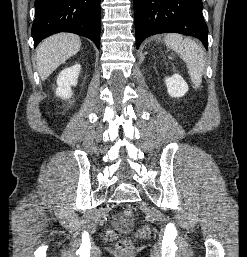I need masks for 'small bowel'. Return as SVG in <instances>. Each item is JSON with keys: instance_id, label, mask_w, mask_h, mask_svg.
Returning <instances> with one entry per match:
<instances>
[{"instance_id": "1", "label": "small bowel", "mask_w": 247, "mask_h": 257, "mask_svg": "<svg viewBox=\"0 0 247 257\" xmlns=\"http://www.w3.org/2000/svg\"><path fill=\"white\" fill-rule=\"evenodd\" d=\"M113 225L118 230H124L126 228L122 217L118 214L113 216Z\"/></svg>"}]
</instances>
